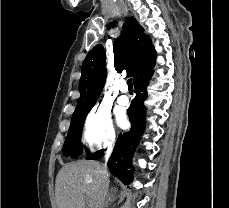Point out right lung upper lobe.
I'll use <instances>...</instances> for the list:
<instances>
[{
	"label": "right lung upper lobe",
	"mask_w": 229,
	"mask_h": 208,
	"mask_svg": "<svg viewBox=\"0 0 229 208\" xmlns=\"http://www.w3.org/2000/svg\"><path fill=\"white\" fill-rule=\"evenodd\" d=\"M113 51L117 72L126 69L127 75L133 77L134 82L154 68L156 51L152 41L132 17L126 20L122 34L113 44ZM105 59L101 44L96 45L86 56L79 82L80 97L72 120L86 117L96 103L106 80Z\"/></svg>",
	"instance_id": "right-lung-upper-lobe-1"
}]
</instances>
